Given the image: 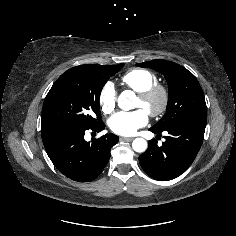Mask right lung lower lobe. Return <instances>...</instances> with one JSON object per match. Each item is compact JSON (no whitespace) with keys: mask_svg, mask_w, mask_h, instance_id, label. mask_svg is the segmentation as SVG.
I'll return each mask as SVG.
<instances>
[{"mask_svg":"<svg viewBox=\"0 0 236 236\" xmlns=\"http://www.w3.org/2000/svg\"><path fill=\"white\" fill-rule=\"evenodd\" d=\"M103 122L86 128L64 125L42 133L45 150L54 166L65 176L77 182L94 180L105 168L110 149L119 140L114 134H106L90 142L84 140L86 130L100 132Z\"/></svg>","mask_w":236,"mask_h":236,"instance_id":"obj_1","label":"right lung lower lobe"}]
</instances>
